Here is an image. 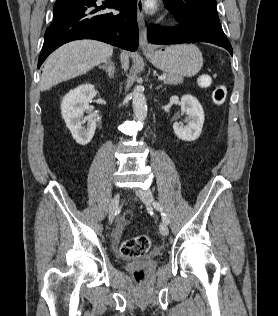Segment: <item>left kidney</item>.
Masks as SVG:
<instances>
[{
    "label": "left kidney",
    "mask_w": 278,
    "mask_h": 316,
    "mask_svg": "<svg viewBox=\"0 0 278 316\" xmlns=\"http://www.w3.org/2000/svg\"><path fill=\"white\" fill-rule=\"evenodd\" d=\"M181 112L186 113L188 125L173 124L175 134L184 141L197 139L204 124V111L199 101L192 95H184L181 98Z\"/></svg>",
    "instance_id": "left-kidney-1"
}]
</instances>
